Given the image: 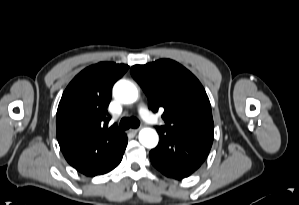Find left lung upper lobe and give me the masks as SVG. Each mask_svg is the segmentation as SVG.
<instances>
[{
    "label": "left lung upper lobe",
    "instance_id": "obj_1",
    "mask_svg": "<svg viewBox=\"0 0 299 205\" xmlns=\"http://www.w3.org/2000/svg\"><path fill=\"white\" fill-rule=\"evenodd\" d=\"M153 112L164 108L166 125L157 130L213 138L214 123L208 96L199 80L179 63L162 59L131 68Z\"/></svg>",
    "mask_w": 299,
    "mask_h": 205
}]
</instances>
